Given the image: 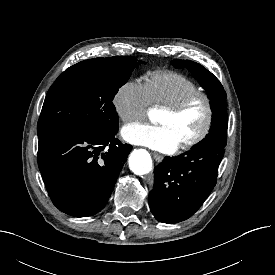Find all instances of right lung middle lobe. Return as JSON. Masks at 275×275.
<instances>
[{"label": "right lung middle lobe", "instance_id": "dd1d6c3e", "mask_svg": "<svg viewBox=\"0 0 275 275\" xmlns=\"http://www.w3.org/2000/svg\"><path fill=\"white\" fill-rule=\"evenodd\" d=\"M136 66L135 57L117 56L85 60L66 69L46 95L37 124L39 140L71 132L118 130L112 100Z\"/></svg>", "mask_w": 275, "mask_h": 275}]
</instances>
